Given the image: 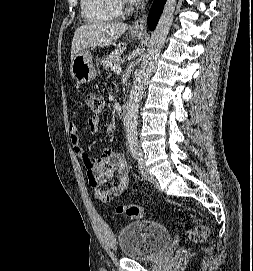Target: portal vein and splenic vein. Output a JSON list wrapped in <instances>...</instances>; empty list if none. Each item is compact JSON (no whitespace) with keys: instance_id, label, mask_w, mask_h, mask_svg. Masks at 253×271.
Segmentation results:
<instances>
[{"instance_id":"portal-vein-and-splenic-vein-1","label":"portal vein and splenic vein","mask_w":253,"mask_h":271,"mask_svg":"<svg viewBox=\"0 0 253 271\" xmlns=\"http://www.w3.org/2000/svg\"><path fill=\"white\" fill-rule=\"evenodd\" d=\"M113 71L115 73H120L122 71V68L120 67V65H116L113 67Z\"/></svg>"}]
</instances>
